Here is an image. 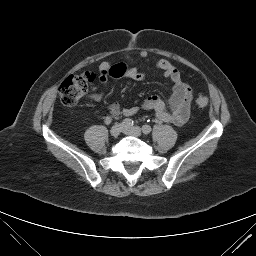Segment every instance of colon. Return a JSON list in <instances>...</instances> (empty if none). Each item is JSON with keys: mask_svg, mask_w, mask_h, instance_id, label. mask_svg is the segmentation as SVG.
I'll list each match as a JSON object with an SVG mask.
<instances>
[{"mask_svg": "<svg viewBox=\"0 0 256 256\" xmlns=\"http://www.w3.org/2000/svg\"><path fill=\"white\" fill-rule=\"evenodd\" d=\"M94 80V75L90 73L70 75L60 85L59 93L62 102L67 106L77 104L80 99L87 93L89 84ZM199 109L208 105L206 97H199L196 100Z\"/></svg>", "mask_w": 256, "mask_h": 256, "instance_id": "1", "label": "colon"}]
</instances>
